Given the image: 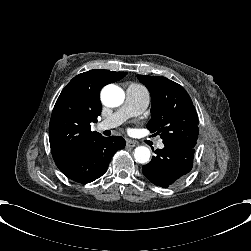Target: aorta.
Listing matches in <instances>:
<instances>
[{"mask_svg": "<svg viewBox=\"0 0 251 251\" xmlns=\"http://www.w3.org/2000/svg\"><path fill=\"white\" fill-rule=\"evenodd\" d=\"M125 93L122 88L109 84L101 91L102 103L109 107H117L124 102ZM133 156L135 161L140 164H146L150 160V150L145 146H138L134 149Z\"/></svg>", "mask_w": 251, "mask_h": 251, "instance_id": "obj_1", "label": "aorta"}]
</instances>
